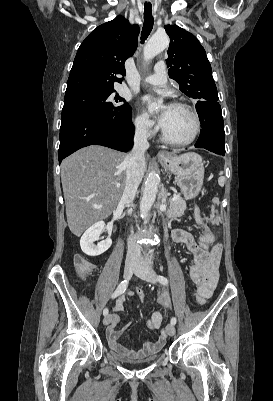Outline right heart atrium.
<instances>
[{
    "label": "right heart atrium",
    "mask_w": 273,
    "mask_h": 401,
    "mask_svg": "<svg viewBox=\"0 0 273 401\" xmlns=\"http://www.w3.org/2000/svg\"><path fill=\"white\" fill-rule=\"evenodd\" d=\"M134 127L142 138H151L156 133L155 123L145 114L139 113L134 119Z\"/></svg>",
    "instance_id": "d8ad5b80"
}]
</instances>
